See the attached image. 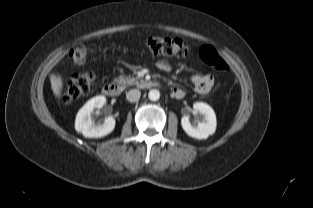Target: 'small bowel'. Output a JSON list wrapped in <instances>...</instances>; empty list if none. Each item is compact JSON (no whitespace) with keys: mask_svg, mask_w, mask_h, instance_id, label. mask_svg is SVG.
Segmentation results:
<instances>
[{"mask_svg":"<svg viewBox=\"0 0 313 208\" xmlns=\"http://www.w3.org/2000/svg\"><path fill=\"white\" fill-rule=\"evenodd\" d=\"M158 68L163 71H169L170 66L167 62L161 61L158 63ZM194 89L199 94H208L214 86V78L211 75L193 74L190 77ZM185 91L180 87L172 89V96L176 99H182L185 96Z\"/></svg>","mask_w":313,"mask_h":208,"instance_id":"1","label":"small bowel"}]
</instances>
